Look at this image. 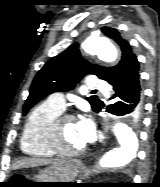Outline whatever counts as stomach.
Wrapping results in <instances>:
<instances>
[{"mask_svg": "<svg viewBox=\"0 0 160 187\" xmlns=\"http://www.w3.org/2000/svg\"><path fill=\"white\" fill-rule=\"evenodd\" d=\"M81 169V164L71 158L58 159L41 170L33 182H72ZM67 183H35L37 187L63 186Z\"/></svg>", "mask_w": 160, "mask_h": 187, "instance_id": "stomach-1", "label": "stomach"}]
</instances>
